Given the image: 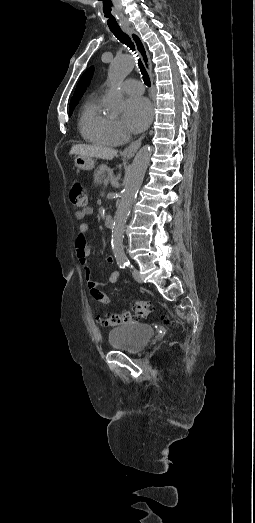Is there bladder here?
I'll use <instances>...</instances> for the list:
<instances>
[{
	"label": "bladder",
	"instance_id": "31cf9c89",
	"mask_svg": "<svg viewBox=\"0 0 255 523\" xmlns=\"http://www.w3.org/2000/svg\"><path fill=\"white\" fill-rule=\"evenodd\" d=\"M154 331L142 323L125 324L114 328L108 335V344L114 349H121L125 352H140Z\"/></svg>",
	"mask_w": 255,
	"mask_h": 523
}]
</instances>
